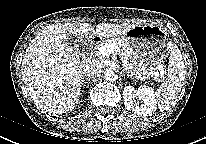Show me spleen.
Here are the masks:
<instances>
[{
    "label": "spleen",
    "instance_id": "1",
    "mask_svg": "<svg viewBox=\"0 0 206 144\" xmlns=\"http://www.w3.org/2000/svg\"><path fill=\"white\" fill-rule=\"evenodd\" d=\"M170 50L168 77L154 93L160 111L169 110L170 105L176 102L178 93L183 86L181 81L184 80L183 73L185 71L183 68H185V66L182 61L181 52L175 44H171Z\"/></svg>",
    "mask_w": 206,
    "mask_h": 144
}]
</instances>
